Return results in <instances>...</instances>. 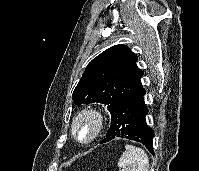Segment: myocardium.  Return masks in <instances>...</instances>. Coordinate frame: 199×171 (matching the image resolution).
Here are the masks:
<instances>
[{
    "label": "myocardium",
    "mask_w": 199,
    "mask_h": 171,
    "mask_svg": "<svg viewBox=\"0 0 199 171\" xmlns=\"http://www.w3.org/2000/svg\"><path fill=\"white\" fill-rule=\"evenodd\" d=\"M84 121H89L92 126L91 135L86 139H81L77 128L80 123ZM105 125L104 115L100 109L95 107H87L81 109L72 119L71 121V135L72 137L81 144H90L94 142L99 135L101 134Z\"/></svg>",
    "instance_id": "1"
}]
</instances>
